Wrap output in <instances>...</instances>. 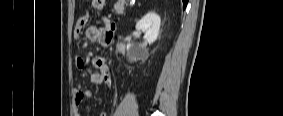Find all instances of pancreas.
I'll return each instance as SVG.
<instances>
[{
	"instance_id": "1",
	"label": "pancreas",
	"mask_w": 283,
	"mask_h": 116,
	"mask_svg": "<svg viewBox=\"0 0 283 116\" xmlns=\"http://www.w3.org/2000/svg\"><path fill=\"white\" fill-rule=\"evenodd\" d=\"M114 8H115L116 13L122 14L123 11H124L123 2H122V1H118V2L115 4Z\"/></svg>"
}]
</instances>
